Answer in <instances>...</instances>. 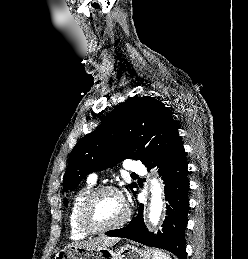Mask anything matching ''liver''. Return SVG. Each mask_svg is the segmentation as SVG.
Instances as JSON below:
<instances>
[{
    "instance_id": "liver-1",
    "label": "liver",
    "mask_w": 248,
    "mask_h": 259,
    "mask_svg": "<svg viewBox=\"0 0 248 259\" xmlns=\"http://www.w3.org/2000/svg\"><path fill=\"white\" fill-rule=\"evenodd\" d=\"M119 240L120 238L118 237L100 236L87 241L76 242L74 246L88 249H96L103 247H111L115 245L117 242H119Z\"/></svg>"
}]
</instances>
